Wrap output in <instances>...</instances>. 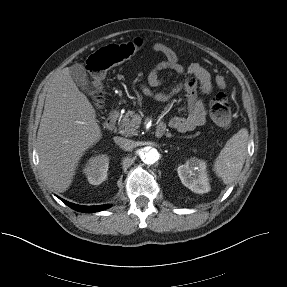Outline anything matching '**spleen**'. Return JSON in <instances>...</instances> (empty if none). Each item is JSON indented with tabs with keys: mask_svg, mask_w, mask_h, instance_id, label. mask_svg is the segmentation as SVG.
Segmentation results:
<instances>
[{
	"mask_svg": "<svg viewBox=\"0 0 287 287\" xmlns=\"http://www.w3.org/2000/svg\"><path fill=\"white\" fill-rule=\"evenodd\" d=\"M248 139V130L240 129L215 159L213 170L225 184H231L240 174L247 156Z\"/></svg>",
	"mask_w": 287,
	"mask_h": 287,
	"instance_id": "3e777b00",
	"label": "spleen"
}]
</instances>
